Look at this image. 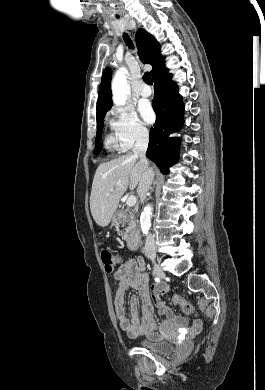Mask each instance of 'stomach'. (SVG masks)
<instances>
[{
	"instance_id": "1",
	"label": "stomach",
	"mask_w": 265,
	"mask_h": 390,
	"mask_svg": "<svg viewBox=\"0 0 265 390\" xmlns=\"http://www.w3.org/2000/svg\"><path fill=\"white\" fill-rule=\"evenodd\" d=\"M118 221H119V219H118L117 215H114V216L112 217V225H117V224H118Z\"/></svg>"
}]
</instances>
